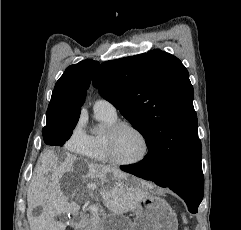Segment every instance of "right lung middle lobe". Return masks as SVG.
Listing matches in <instances>:
<instances>
[{
    "instance_id": "1",
    "label": "right lung middle lobe",
    "mask_w": 241,
    "mask_h": 230,
    "mask_svg": "<svg viewBox=\"0 0 241 230\" xmlns=\"http://www.w3.org/2000/svg\"><path fill=\"white\" fill-rule=\"evenodd\" d=\"M78 121H51L47 122L42 130L44 142L52 146H63L72 135Z\"/></svg>"
}]
</instances>
